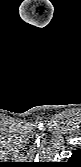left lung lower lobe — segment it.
<instances>
[{"label":"left lung lower lobe","instance_id":"0a47b994","mask_svg":"<svg viewBox=\"0 0 81 167\" xmlns=\"http://www.w3.org/2000/svg\"><path fill=\"white\" fill-rule=\"evenodd\" d=\"M71 162H75L76 160H79V153L78 152H74L73 155L70 157L69 159Z\"/></svg>","mask_w":81,"mask_h":167}]
</instances>
